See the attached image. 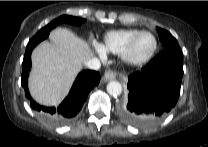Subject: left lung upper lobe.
<instances>
[{
    "label": "left lung upper lobe",
    "instance_id": "obj_1",
    "mask_svg": "<svg viewBox=\"0 0 208 147\" xmlns=\"http://www.w3.org/2000/svg\"><path fill=\"white\" fill-rule=\"evenodd\" d=\"M157 31L159 33V38L161 39L164 45V50L182 54L177 40L168 31L161 28H157Z\"/></svg>",
    "mask_w": 208,
    "mask_h": 147
}]
</instances>
